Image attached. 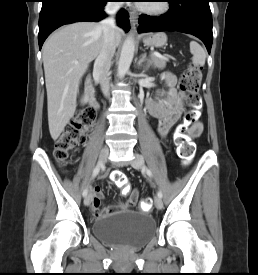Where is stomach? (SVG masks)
Returning <instances> with one entry per match:
<instances>
[{
	"mask_svg": "<svg viewBox=\"0 0 258 275\" xmlns=\"http://www.w3.org/2000/svg\"><path fill=\"white\" fill-rule=\"evenodd\" d=\"M145 45L153 47H162L167 42V36L163 32L151 33L143 37Z\"/></svg>",
	"mask_w": 258,
	"mask_h": 275,
	"instance_id": "0dacf381",
	"label": "stomach"
}]
</instances>
